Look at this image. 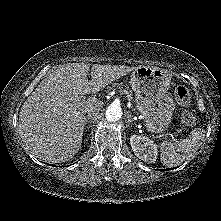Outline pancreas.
Instances as JSON below:
<instances>
[{"mask_svg":"<svg viewBox=\"0 0 221 221\" xmlns=\"http://www.w3.org/2000/svg\"><path fill=\"white\" fill-rule=\"evenodd\" d=\"M113 88H117L119 91L125 90L127 93H131L132 91L129 89V86L126 83H113L112 87H108V91L113 89Z\"/></svg>","mask_w":221,"mask_h":221,"instance_id":"obj_1","label":"pancreas"}]
</instances>
